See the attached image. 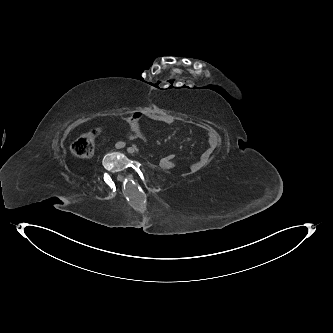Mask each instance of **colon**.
Returning <instances> with one entry per match:
<instances>
[{"mask_svg": "<svg viewBox=\"0 0 333 333\" xmlns=\"http://www.w3.org/2000/svg\"><path fill=\"white\" fill-rule=\"evenodd\" d=\"M99 135L98 129H92L89 132L81 135L75 140L71 146L72 154L77 158H89L94 152V143L96 137ZM175 157L174 153H170L159 159V162L165 164V161H170Z\"/></svg>", "mask_w": 333, "mask_h": 333, "instance_id": "1", "label": "colon"}]
</instances>
